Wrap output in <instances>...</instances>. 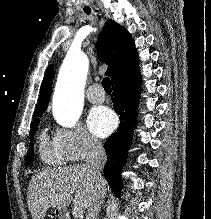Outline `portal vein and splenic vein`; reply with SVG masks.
Segmentation results:
<instances>
[{"instance_id": "1", "label": "portal vein and splenic vein", "mask_w": 211, "mask_h": 219, "mask_svg": "<svg viewBox=\"0 0 211 219\" xmlns=\"http://www.w3.org/2000/svg\"><path fill=\"white\" fill-rule=\"evenodd\" d=\"M81 212H82V210L79 209V208H77V207H75V208L73 209V215H74V216H79V215L81 214Z\"/></svg>"}]
</instances>
